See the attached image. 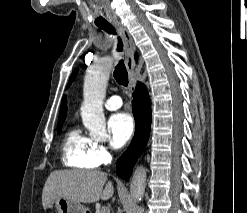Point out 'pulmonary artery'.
Instances as JSON below:
<instances>
[{"label": "pulmonary artery", "instance_id": "1", "mask_svg": "<svg viewBox=\"0 0 247 213\" xmlns=\"http://www.w3.org/2000/svg\"><path fill=\"white\" fill-rule=\"evenodd\" d=\"M108 110H116L122 106V99L120 96H112L108 98L104 104Z\"/></svg>", "mask_w": 247, "mask_h": 213}]
</instances>
